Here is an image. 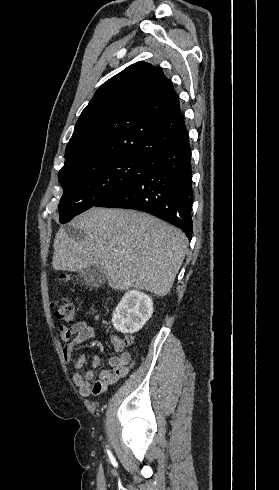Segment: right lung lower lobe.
I'll use <instances>...</instances> for the list:
<instances>
[{
    "label": "right lung lower lobe",
    "instance_id": "right-lung-lower-lobe-1",
    "mask_svg": "<svg viewBox=\"0 0 279 490\" xmlns=\"http://www.w3.org/2000/svg\"><path fill=\"white\" fill-rule=\"evenodd\" d=\"M189 139L159 154L142 176L108 194L95 206L136 209L180 228L189 240L193 225Z\"/></svg>",
    "mask_w": 279,
    "mask_h": 490
}]
</instances>
